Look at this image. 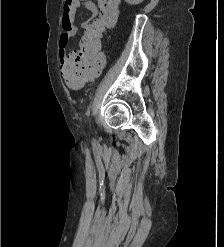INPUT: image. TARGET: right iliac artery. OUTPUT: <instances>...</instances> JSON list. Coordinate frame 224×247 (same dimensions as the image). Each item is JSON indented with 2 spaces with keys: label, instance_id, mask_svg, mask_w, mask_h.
I'll return each instance as SVG.
<instances>
[{
  "label": "right iliac artery",
  "instance_id": "1",
  "mask_svg": "<svg viewBox=\"0 0 224 247\" xmlns=\"http://www.w3.org/2000/svg\"><path fill=\"white\" fill-rule=\"evenodd\" d=\"M89 114H90V109L87 110V115H89Z\"/></svg>",
  "mask_w": 224,
  "mask_h": 247
}]
</instances>
